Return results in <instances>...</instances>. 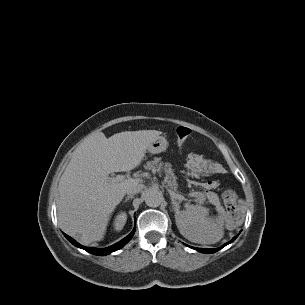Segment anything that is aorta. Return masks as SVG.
Masks as SVG:
<instances>
[{"instance_id":"aorta-1","label":"aorta","mask_w":305,"mask_h":305,"mask_svg":"<svg viewBox=\"0 0 305 305\" xmlns=\"http://www.w3.org/2000/svg\"><path fill=\"white\" fill-rule=\"evenodd\" d=\"M144 200L149 207H158L162 203L163 197L157 190H148L144 195Z\"/></svg>"}]
</instances>
